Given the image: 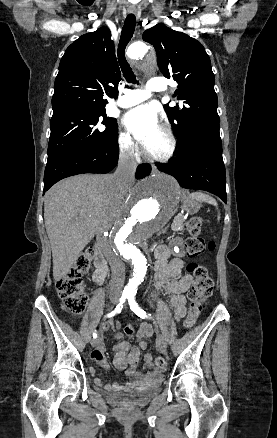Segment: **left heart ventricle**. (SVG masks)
<instances>
[{
    "instance_id": "left-heart-ventricle-1",
    "label": "left heart ventricle",
    "mask_w": 277,
    "mask_h": 438,
    "mask_svg": "<svg viewBox=\"0 0 277 438\" xmlns=\"http://www.w3.org/2000/svg\"><path fill=\"white\" fill-rule=\"evenodd\" d=\"M152 71H154V69ZM168 149L169 140L159 129L149 138L144 147L145 152L152 156H164Z\"/></svg>"
}]
</instances>
